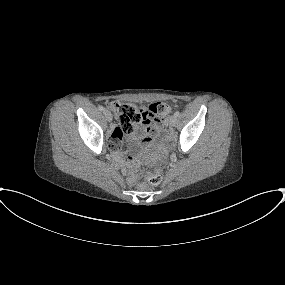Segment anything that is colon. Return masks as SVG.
Returning <instances> with one entry per match:
<instances>
[{"label":"colon","instance_id":"5ec220e1","mask_svg":"<svg viewBox=\"0 0 285 285\" xmlns=\"http://www.w3.org/2000/svg\"><path fill=\"white\" fill-rule=\"evenodd\" d=\"M116 116L117 128L122 133H131L134 127L146 121L156 119L162 120L169 113V107L163 102L153 103L148 106H138L133 103L113 102L109 105ZM127 158L126 161H129ZM145 180L158 185L163 179V171L155 169L144 174Z\"/></svg>","mask_w":285,"mask_h":285}]
</instances>
